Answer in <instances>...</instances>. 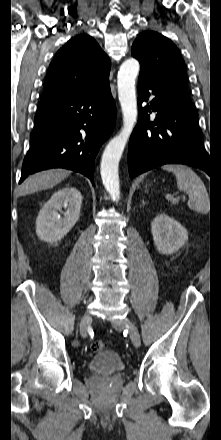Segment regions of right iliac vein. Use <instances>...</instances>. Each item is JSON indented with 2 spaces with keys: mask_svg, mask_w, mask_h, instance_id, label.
<instances>
[{
  "mask_svg": "<svg viewBox=\"0 0 221 440\" xmlns=\"http://www.w3.org/2000/svg\"><path fill=\"white\" fill-rule=\"evenodd\" d=\"M90 322H91V315L89 313H85L80 323V333L83 337L86 336L87 328Z\"/></svg>",
  "mask_w": 221,
  "mask_h": 440,
  "instance_id": "right-iliac-vein-1",
  "label": "right iliac vein"
}]
</instances>
